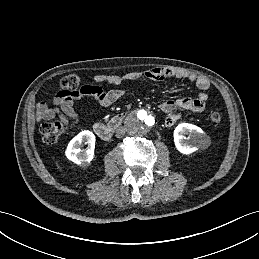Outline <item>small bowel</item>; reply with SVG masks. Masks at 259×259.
<instances>
[{
    "label": "small bowel",
    "mask_w": 259,
    "mask_h": 259,
    "mask_svg": "<svg viewBox=\"0 0 259 259\" xmlns=\"http://www.w3.org/2000/svg\"><path fill=\"white\" fill-rule=\"evenodd\" d=\"M167 78L186 79L195 83L200 93L196 97H184L176 100H166L159 107L167 114L165 125L173 126L180 118L178 109L201 113L205 110L210 88V81L203 75L181 69V68H152L145 72H129L124 75L97 74L93 76L94 84L84 85L70 95L63 96L57 93L52 101V106L46 103H38L36 115L38 120H51L59 118L65 124H74L78 121V114L75 111L77 103L84 99H93L102 107H109L118 101L123 95L124 90L112 89L104 91L99 84L109 83L121 85L126 81H142L145 79L153 81H163Z\"/></svg>",
    "instance_id": "small-bowel-1"
}]
</instances>
